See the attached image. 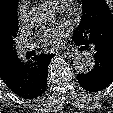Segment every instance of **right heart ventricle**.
Wrapping results in <instances>:
<instances>
[{
  "label": "right heart ventricle",
  "instance_id": "right-heart-ventricle-1",
  "mask_svg": "<svg viewBox=\"0 0 113 113\" xmlns=\"http://www.w3.org/2000/svg\"><path fill=\"white\" fill-rule=\"evenodd\" d=\"M41 1L50 8H57L61 0H41Z\"/></svg>",
  "mask_w": 113,
  "mask_h": 113
}]
</instances>
